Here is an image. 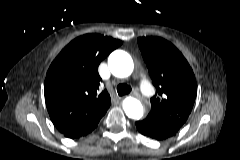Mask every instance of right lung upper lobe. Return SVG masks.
Returning a JSON list of instances; mask_svg holds the SVG:
<instances>
[{
  "label": "right lung upper lobe",
  "instance_id": "1",
  "mask_svg": "<svg viewBox=\"0 0 240 160\" xmlns=\"http://www.w3.org/2000/svg\"><path fill=\"white\" fill-rule=\"evenodd\" d=\"M122 41L86 34L71 41L50 65L44 83L47 110L54 126L63 133L102 115L110 96L100 91V62Z\"/></svg>",
  "mask_w": 240,
  "mask_h": 160
}]
</instances>
